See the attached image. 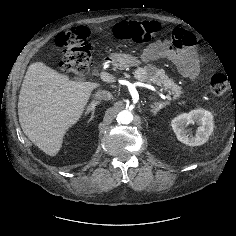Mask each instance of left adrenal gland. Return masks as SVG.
<instances>
[{"instance_id": "1", "label": "left adrenal gland", "mask_w": 236, "mask_h": 236, "mask_svg": "<svg viewBox=\"0 0 236 236\" xmlns=\"http://www.w3.org/2000/svg\"><path fill=\"white\" fill-rule=\"evenodd\" d=\"M170 102H155L154 105H151V112L156 115L158 111H160L165 106L169 105Z\"/></svg>"}]
</instances>
